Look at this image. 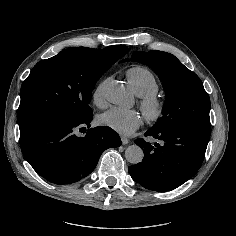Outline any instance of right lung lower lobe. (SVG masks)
<instances>
[{
	"label": "right lung lower lobe",
	"instance_id": "98d812e1",
	"mask_svg": "<svg viewBox=\"0 0 236 236\" xmlns=\"http://www.w3.org/2000/svg\"><path fill=\"white\" fill-rule=\"evenodd\" d=\"M92 119L93 114L80 121L53 119L38 124L20 135L23 155L39 175L55 184L79 181L95 169L104 150L121 145L110 127L90 128Z\"/></svg>",
	"mask_w": 236,
	"mask_h": 236
}]
</instances>
